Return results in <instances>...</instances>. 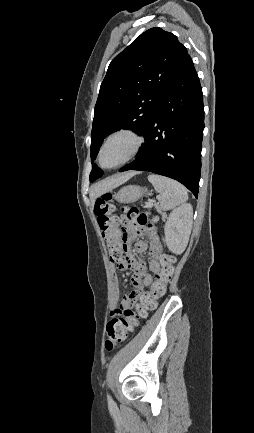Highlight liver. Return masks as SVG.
Masks as SVG:
<instances>
[{
	"mask_svg": "<svg viewBox=\"0 0 254 433\" xmlns=\"http://www.w3.org/2000/svg\"><path fill=\"white\" fill-rule=\"evenodd\" d=\"M136 172H128L124 175L116 176V177H110L103 181L98 182L97 184L93 185L90 190V199L92 202L95 201V199L102 194L113 190L114 188L124 184L127 182L130 178H132Z\"/></svg>",
	"mask_w": 254,
	"mask_h": 433,
	"instance_id": "1",
	"label": "liver"
}]
</instances>
